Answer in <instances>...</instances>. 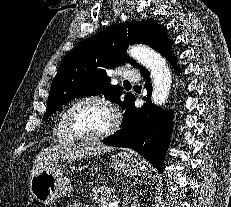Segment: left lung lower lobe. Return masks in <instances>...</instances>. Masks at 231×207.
I'll return each mask as SVG.
<instances>
[{
    "instance_id": "0a47b994",
    "label": "left lung lower lobe",
    "mask_w": 231,
    "mask_h": 207,
    "mask_svg": "<svg viewBox=\"0 0 231 207\" xmlns=\"http://www.w3.org/2000/svg\"><path fill=\"white\" fill-rule=\"evenodd\" d=\"M171 45L172 43L161 54L169 60L174 70L179 72V68L174 64L176 58L170 52ZM141 71L145 88L149 92L144 98L146 102L142 108L137 109L134 105V98L126 110L122 129L109 136L103 143L134 149L159 172H162L163 161L171 139L172 115L152 105L150 74L144 68Z\"/></svg>"
}]
</instances>
